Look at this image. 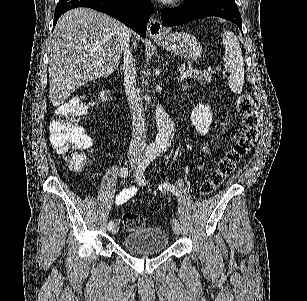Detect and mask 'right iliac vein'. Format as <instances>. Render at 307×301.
<instances>
[{
	"instance_id": "1",
	"label": "right iliac vein",
	"mask_w": 307,
	"mask_h": 301,
	"mask_svg": "<svg viewBox=\"0 0 307 301\" xmlns=\"http://www.w3.org/2000/svg\"><path fill=\"white\" fill-rule=\"evenodd\" d=\"M129 162H130L132 167H136L138 165V159H137L136 156H130ZM118 230H119V223L116 221L115 224L113 225L112 233L116 234V233H118Z\"/></svg>"
}]
</instances>
